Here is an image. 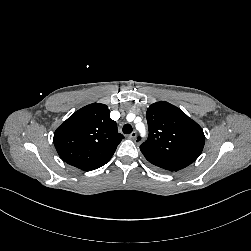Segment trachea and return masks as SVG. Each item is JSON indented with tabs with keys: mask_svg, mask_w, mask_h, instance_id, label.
I'll return each mask as SVG.
<instances>
[{
	"mask_svg": "<svg viewBox=\"0 0 251 251\" xmlns=\"http://www.w3.org/2000/svg\"><path fill=\"white\" fill-rule=\"evenodd\" d=\"M132 132V126L130 124H125L123 126V133L130 134Z\"/></svg>",
	"mask_w": 251,
	"mask_h": 251,
	"instance_id": "obj_1",
	"label": "trachea"
}]
</instances>
